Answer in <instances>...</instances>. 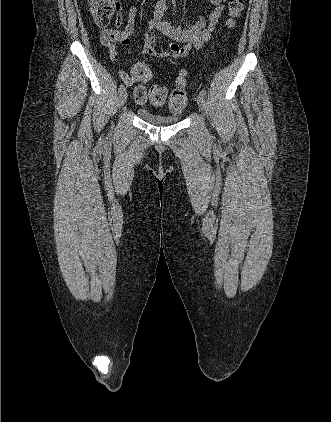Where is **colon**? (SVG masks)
<instances>
[{"label":"colon","mask_w":331,"mask_h":422,"mask_svg":"<svg viewBox=\"0 0 331 422\" xmlns=\"http://www.w3.org/2000/svg\"><path fill=\"white\" fill-rule=\"evenodd\" d=\"M91 15L98 27H106L113 17H119L120 4L118 0H88ZM244 9V0H229L228 2V25L234 27ZM132 74L141 81L147 83L152 79V72L148 65L142 62L134 64ZM186 79L181 75L175 88L171 91L168 101V108L171 113L179 114L187 106L185 91ZM149 95L157 106L163 105L167 99V90L159 85H153L147 92L144 86L135 90L136 100L143 101Z\"/></svg>","instance_id":"colon-1"}]
</instances>
